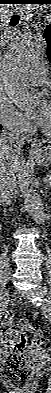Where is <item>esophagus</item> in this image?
I'll return each instance as SVG.
<instances>
[{"mask_svg":"<svg viewBox=\"0 0 51 393\" xmlns=\"http://www.w3.org/2000/svg\"><path fill=\"white\" fill-rule=\"evenodd\" d=\"M41 149V143L40 142H34L32 144V148H31V152L32 153H36L37 151H39Z\"/></svg>","mask_w":51,"mask_h":393,"instance_id":"34e87169","label":"esophagus"}]
</instances>
